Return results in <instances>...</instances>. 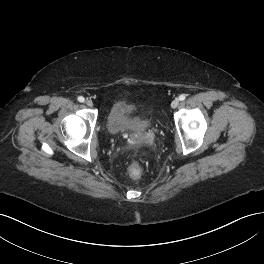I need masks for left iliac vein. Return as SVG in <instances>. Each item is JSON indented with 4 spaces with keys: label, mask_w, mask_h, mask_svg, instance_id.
Segmentation results:
<instances>
[{
    "label": "left iliac vein",
    "mask_w": 264,
    "mask_h": 264,
    "mask_svg": "<svg viewBox=\"0 0 264 264\" xmlns=\"http://www.w3.org/2000/svg\"><path fill=\"white\" fill-rule=\"evenodd\" d=\"M179 105V100L178 99H174L171 103V107L172 108H176Z\"/></svg>",
    "instance_id": "4c4485c4"
}]
</instances>
